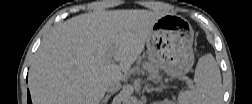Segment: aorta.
Here are the masks:
<instances>
[{"label": "aorta", "mask_w": 252, "mask_h": 104, "mask_svg": "<svg viewBox=\"0 0 252 104\" xmlns=\"http://www.w3.org/2000/svg\"><path fill=\"white\" fill-rule=\"evenodd\" d=\"M134 100H135V98L132 97L130 94H125V95L123 96V103H125V104L134 103Z\"/></svg>", "instance_id": "762f6f07"}]
</instances>
